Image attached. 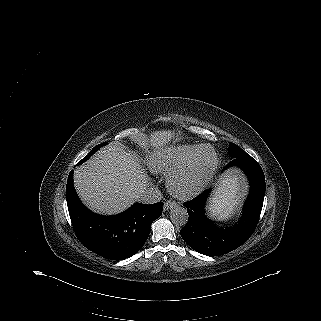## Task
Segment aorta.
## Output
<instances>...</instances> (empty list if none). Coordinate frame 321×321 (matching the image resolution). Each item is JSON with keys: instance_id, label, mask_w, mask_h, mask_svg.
I'll use <instances>...</instances> for the list:
<instances>
[{"instance_id": "762f6f07", "label": "aorta", "mask_w": 321, "mask_h": 321, "mask_svg": "<svg viewBox=\"0 0 321 321\" xmlns=\"http://www.w3.org/2000/svg\"><path fill=\"white\" fill-rule=\"evenodd\" d=\"M170 219L176 226H184L188 222L189 215L187 209L181 206H175L170 211Z\"/></svg>"}]
</instances>
